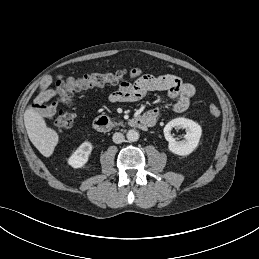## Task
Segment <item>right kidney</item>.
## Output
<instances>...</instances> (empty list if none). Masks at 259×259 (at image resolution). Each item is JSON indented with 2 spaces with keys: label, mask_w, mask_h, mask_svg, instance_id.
<instances>
[{
  "label": "right kidney",
  "mask_w": 259,
  "mask_h": 259,
  "mask_svg": "<svg viewBox=\"0 0 259 259\" xmlns=\"http://www.w3.org/2000/svg\"><path fill=\"white\" fill-rule=\"evenodd\" d=\"M92 148L93 147L90 142H83L69 157L68 164L73 168L83 167L88 161Z\"/></svg>",
  "instance_id": "ca27d5eb"
}]
</instances>
